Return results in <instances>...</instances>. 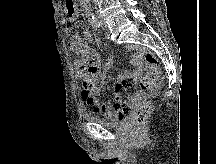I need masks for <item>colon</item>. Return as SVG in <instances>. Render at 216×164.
<instances>
[{
  "mask_svg": "<svg viewBox=\"0 0 216 164\" xmlns=\"http://www.w3.org/2000/svg\"><path fill=\"white\" fill-rule=\"evenodd\" d=\"M157 58L154 54L152 53H146L145 55V64H146V73L143 76V78L140 80L138 86L141 90L145 91L150 89L153 84L156 81V72H155V67L157 65ZM83 69H86V67H83ZM136 81L128 79L125 80L122 83V88L125 90H130L136 86ZM151 113V104L149 102H144L141 104V106L137 109L136 114H135V122L138 125H141L145 123L147 118L149 117Z\"/></svg>",
  "mask_w": 216,
  "mask_h": 164,
  "instance_id": "colon-1",
  "label": "colon"
}]
</instances>
